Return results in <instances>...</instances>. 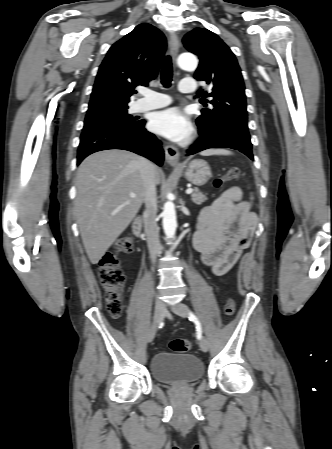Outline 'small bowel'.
Returning <instances> with one entry per match:
<instances>
[{
  "label": "small bowel",
  "mask_w": 332,
  "mask_h": 449,
  "mask_svg": "<svg viewBox=\"0 0 332 449\" xmlns=\"http://www.w3.org/2000/svg\"><path fill=\"white\" fill-rule=\"evenodd\" d=\"M256 225L241 191L236 187L225 191L198 218L194 244L202 262L217 277L228 274L249 247Z\"/></svg>",
  "instance_id": "obj_1"
}]
</instances>
